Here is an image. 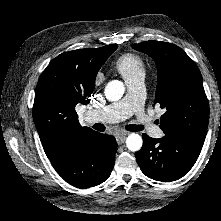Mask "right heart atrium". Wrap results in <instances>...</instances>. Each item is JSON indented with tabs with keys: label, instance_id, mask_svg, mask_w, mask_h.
Segmentation results:
<instances>
[{
	"label": "right heart atrium",
	"instance_id": "d8ad5b80",
	"mask_svg": "<svg viewBox=\"0 0 221 221\" xmlns=\"http://www.w3.org/2000/svg\"><path fill=\"white\" fill-rule=\"evenodd\" d=\"M104 80V76L101 72H98L94 77V84L97 86L101 84Z\"/></svg>",
	"mask_w": 221,
	"mask_h": 221
}]
</instances>
